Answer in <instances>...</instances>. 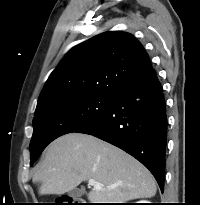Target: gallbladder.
<instances>
[{
	"label": "gallbladder",
	"mask_w": 200,
	"mask_h": 205,
	"mask_svg": "<svg viewBox=\"0 0 200 205\" xmlns=\"http://www.w3.org/2000/svg\"><path fill=\"white\" fill-rule=\"evenodd\" d=\"M84 193V190H80V189H73L71 191H69V196L72 197V198H78L80 197L82 194Z\"/></svg>",
	"instance_id": "1"
}]
</instances>
